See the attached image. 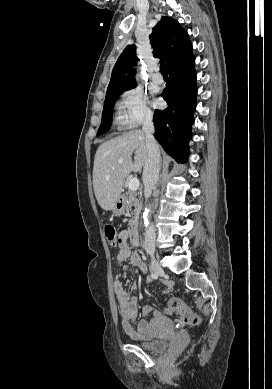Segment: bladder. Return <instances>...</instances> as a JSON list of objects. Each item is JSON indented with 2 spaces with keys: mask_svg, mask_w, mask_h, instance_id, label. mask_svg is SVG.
Segmentation results:
<instances>
[{
  "mask_svg": "<svg viewBox=\"0 0 272 389\" xmlns=\"http://www.w3.org/2000/svg\"><path fill=\"white\" fill-rule=\"evenodd\" d=\"M137 346L148 351H162L167 348L168 341L166 339L140 341Z\"/></svg>",
  "mask_w": 272,
  "mask_h": 389,
  "instance_id": "1",
  "label": "bladder"
}]
</instances>
